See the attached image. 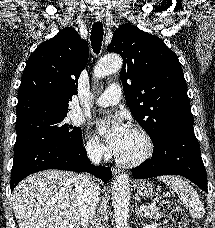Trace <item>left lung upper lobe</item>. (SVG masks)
<instances>
[{
    "instance_id": "5c2ea615",
    "label": "left lung upper lobe",
    "mask_w": 215,
    "mask_h": 228,
    "mask_svg": "<svg viewBox=\"0 0 215 228\" xmlns=\"http://www.w3.org/2000/svg\"><path fill=\"white\" fill-rule=\"evenodd\" d=\"M107 50L123 58L120 77L127 105L153 144L166 132L193 126L180 62L160 38L124 24Z\"/></svg>"
}]
</instances>
